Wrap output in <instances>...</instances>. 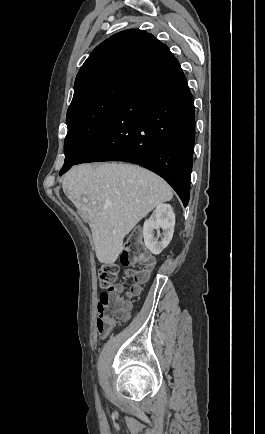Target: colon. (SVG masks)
<instances>
[{"label":"colon","instance_id":"5ec220e1","mask_svg":"<svg viewBox=\"0 0 265 434\" xmlns=\"http://www.w3.org/2000/svg\"><path fill=\"white\" fill-rule=\"evenodd\" d=\"M121 265L123 268L127 266L130 269L129 275L133 279V284L130 287V292L132 295H136L139 292L141 285L148 281L149 270L152 267L153 260L150 256L144 254L143 247L139 241L138 231H134L130 240L124 247L121 253ZM144 264L145 268L137 269V265ZM119 265L110 263L105 264L99 269L98 280L101 288L108 290V293H101L98 295V300L101 302L97 303V320L99 326L96 327L95 332L100 335L101 340H106L107 335L110 332L109 327H119L120 322L127 321V314L125 313L128 307L127 303L120 302L117 300L110 308L109 303L113 294L118 290L117 279L119 273ZM108 311L106 312V309ZM108 316V317H107Z\"/></svg>","mask_w":265,"mask_h":434}]
</instances>
